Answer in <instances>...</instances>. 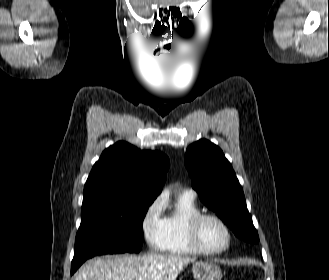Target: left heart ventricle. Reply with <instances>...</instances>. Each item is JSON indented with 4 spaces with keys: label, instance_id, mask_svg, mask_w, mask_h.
<instances>
[{
    "label": "left heart ventricle",
    "instance_id": "left-heart-ventricle-1",
    "mask_svg": "<svg viewBox=\"0 0 329 280\" xmlns=\"http://www.w3.org/2000/svg\"><path fill=\"white\" fill-rule=\"evenodd\" d=\"M227 237L223 227L216 221L207 219L200 227V241L209 250L222 248Z\"/></svg>",
    "mask_w": 329,
    "mask_h": 280
}]
</instances>
